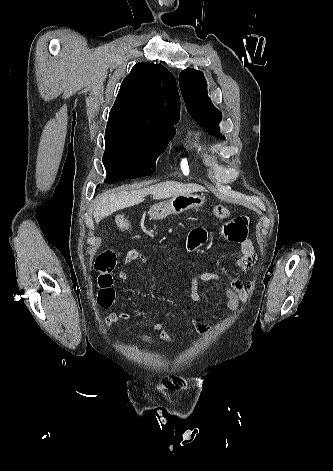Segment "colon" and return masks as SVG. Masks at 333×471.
Here are the masks:
<instances>
[{"instance_id": "colon-1", "label": "colon", "mask_w": 333, "mask_h": 471, "mask_svg": "<svg viewBox=\"0 0 333 471\" xmlns=\"http://www.w3.org/2000/svg\"><path fill=\"white\" fill-rule=\"evenodd\" d=\"M229 209L225 206H215L213 214L221 219L229 216ZM116 225L121 229H128L130 221L123 215L115 217ZM117 254L113 249H106L102 251L96 258L94 268L97 272V282L99 286L98 302L102 307H109L114 299L113 285V271L116 267ZM139 340L144 343H155L157 339L149 334L139 335Z\"/></svg>"}]
</instances>
